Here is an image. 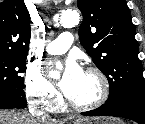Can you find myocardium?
<instances>
[{
    "instance_id": "obj_1",
    "label": "myocardium",
    "mask_w": 145,
    "mask_h": 124,
    "mask_svg": "<svg viewBox=\"0 0 145 124\" xmlns=\"http://www.w3.org/2000/svg\"><path fill=\"white\" fill-rule=\"evenodd\" d=\"M84 72L87 74H92L98 79L100 93L94 101L86 104H76L67 97L66 104L69 108L77 112H88L101 107L107 101L110 93L109 81L106 75L99 68L90 66L87 67Z\"/></svg>"
}]
</instances>
